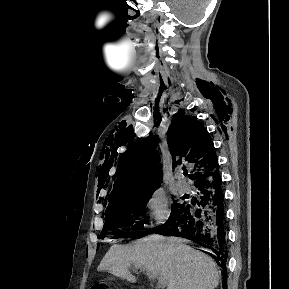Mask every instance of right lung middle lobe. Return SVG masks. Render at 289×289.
<instances>
[{"label": "right lung middle lobe", "instance_id": "right-lung-middle-lobe-1", "mask_svg": "<svg viewBox=\"0 0 289 289\" xmlns=\"http://www.w3.org/2000/svg\"><path fill=\"white\" fill-rule=\"evenodd\" d=\"M154 191L137 194L109 205L105 214V224L98 238H104L108 230L113 232L115 239L141 237L148 234L149 231L143 233L138 232L143 226L138 222V219L140 214L146 211V204ZM179 206L180 204L172 206L171 214ZM126 228H132L135 231L126 232Z\"/></svg>", "mask_w": 289, "mask_h": 289}]
</instances>
